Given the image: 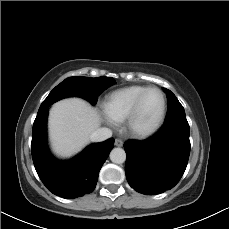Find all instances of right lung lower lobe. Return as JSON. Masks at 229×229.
Returning <instances> with one entry per match:
<instances>
[{"instance_id":"right-lung-lower-lobe-1","label":"right lung lower lobe","mask_w":229,"mask_h":229,"mask_svg":"<svg viewBox=\"0 0 229 229\" xmlns=\"http://www.w3.org/2000/svg\"><path fill=\"white\" fill-rule=\"evenodd\" d=\"M48 111L49 106L41 104L32 130V158L39 178L50 192L66 199L91 193L114 139L92 144L69 161L57 160L47 147Z\"/></svg>"}]
</instances>
